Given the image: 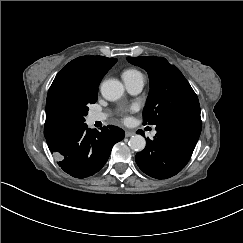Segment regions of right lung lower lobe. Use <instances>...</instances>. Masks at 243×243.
<instances>
[{"mask_svg":"<svg viewBox=\"0 0 243 243\" xmlns=\"http://www.w3.org/2000/svg\"><path fill=\"white\" fill-rule=\"evenodd\" d=\"M45 138L59 166L73 177L85 178L105 165L113 145L124 138V131L109 125L98 132L81 123L58 127Z\"/></svg>","mask_w":243,"mask_h":243,"instance_id":"right-lung-lower-lobe-1","label":"right lung lower lobe"}]
</instances>
